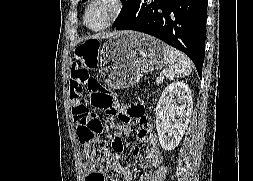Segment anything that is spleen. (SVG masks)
<instances>
[{
	"instance_id": "1",
	"label": "spleen",
	"mask_w": 253,
	"mask_h": 181,
	"mask_svg": "<svg viewBox=\"0 0 253 181\" xmlns=\"http://www.w3.org/2000/svg\"><path fill=\"white\" fill-rule=\"evenodd\" d=\"M165 76L169 80L188 76L192 72V62L183 53L169 45H164Z\"/></svg>"
}]
</instances>
